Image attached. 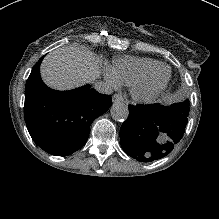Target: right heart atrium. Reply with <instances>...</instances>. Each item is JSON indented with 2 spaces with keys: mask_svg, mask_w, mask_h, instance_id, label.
Returning a JSON list of instances; mask_svg holds the SVG:
<instances>
[{
  "mask_svg": "<svg viewBox=\"0 0 219 219\" xmlns=\"http://www.w3.org/2000/svg\"><path fill=\"white\" fill-rule=\"evenodd\" d=\"M106 79L108 80V82L110 84H112L114 87L118 86V82L115 80V78L113 77V75L109 72V70H106Z\"/></svg>",
  "mask_w": 219,
  "mask_h": 219,
  "instance_id": "1",
  "label": "right heart atrium"
}]
</instances>
